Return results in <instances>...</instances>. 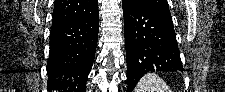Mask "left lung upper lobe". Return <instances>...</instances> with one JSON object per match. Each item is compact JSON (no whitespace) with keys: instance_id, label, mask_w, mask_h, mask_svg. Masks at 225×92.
Segmentation results:
<instances>
[{"instance_id":"5c2ea615","label":"left lung upper lobe","mask_w":225,"mask_h":92,"mask_svg":"<svg viewBox=\"0 0 225 92\" xmlns=\"http://www.w3.org/2000/svg\"><path fill=\"white\" fill-rule=\"evenodd\" d=\"M134 1L139 2L144 6L170 13L167 0H134Z\"/></svg>"}]
</instances>
